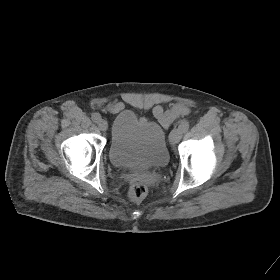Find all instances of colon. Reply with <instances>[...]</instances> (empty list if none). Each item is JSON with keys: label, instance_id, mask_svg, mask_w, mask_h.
<instances>
[{"label": "colon", "instance_id": "5ec220e1", "mask_svg": "<svg viewBox=\"0 0 280 280\" xmlns=\"http://www.w3.org/2000/svg\"><path fill=\"white\" fill-rule=\"evenodd\" d=\"M147 186L142 182H135L128 191V196L132 201L138 202L147 195Z\"/></svg>", "mask_w": 280, "mask_h": 280}]
</instances>
